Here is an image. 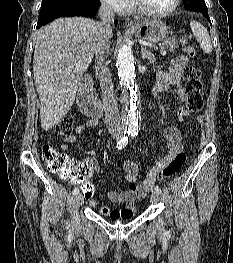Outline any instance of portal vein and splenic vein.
Segmentation results:
<instances>
[{
    "instance_id": "18ae733b",
    "label": "portal vein and splenic vein",
    "mask_w": 233,
    "mask_h": 263,
    "mask_svg": "<svg viewBox=\"0 0 233 263\" xmlns=\"http://www.w3.org/2000/svg\"><path fill=\"white\" fill-rule=\"evenodd\" d=\"M161 54H162L163 56H165V55H166V51H165V50H162V51H161Z\"/></svg>"
}]
</instances>
